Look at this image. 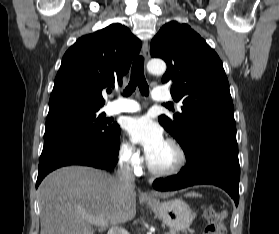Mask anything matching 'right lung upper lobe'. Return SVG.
Returning <instances> with one entry per match:
<instances>
[{"label": "right lung upper lobe", "mask_w": 279, "mask_h": 234, "mask_svg": "<svg viewBox=\"0 0 279 234\" xmlns=\"http://www.w3.org/2000/svg\"><path fill=\"white\" fill-rule=\"evenodd\" d=\"M141 41L117 23L79 38L64 54L49 110L65 106L101 109L102 90L122 85Z\"/></svg>", "instance_id": "1"}]
</instances>
